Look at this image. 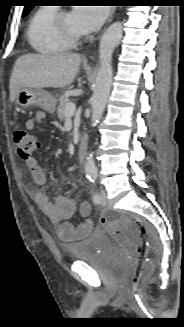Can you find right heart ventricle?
<instances>
[{
    "mask_svg": "<svg viewBox=\"0 0 184 327\" xmlns=\"http://www.w3.org/2000/svg\"><path fill=\"white\" fill-rule=\"evenodd\" d=\"M56 7H41L30 18L27 38L31 47L42 54H60L68 51L71 44L56 31L53 20L57 14Z\"/></svg>",
    "mask_w": 184,
    "mask_h": 327,
    "instance_id": "e07e8e85",
    "label": "right heart ventricle"
}]
</instances>
